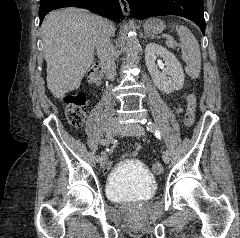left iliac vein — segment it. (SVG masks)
<instances>
[{
	"mask_svg": "<svg viewBox=\"0 0 240 238\" xmlns=\"http://www.w3.org/2000/svg\"><path fill=\"white\" fill-rule=\"evenodd\" d=\"M121 133L124 135L141 137L145 134V129L138 123H132V124L123 126ZM162 159L165 163H169L170 161L168 154L163 155Z\"/></svg>",
	"mask_w": 240,
	"mask_h": 238,
	"instance_id": "obj_1",
	"label": "left iliac vein"
}]
</instances>
